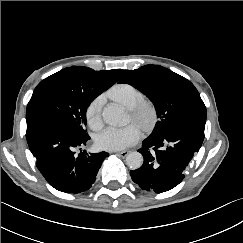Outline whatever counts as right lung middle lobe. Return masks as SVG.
<instances>
[{"mask_svg":"<svg viewBox=\"0 0 243 243\" xmlns=\"http://www.w3.org/2000/svg\"><path fill=\"white\" fill-rule=\"evenodd\" d=\"M98 95L74 87L70 77L59 71L38 84L27 105L26 114L32 111L52 113L67 122L79 135L86 136V111Z\"/></svg>","mask_w":243,"mask_h":243,"instance_id":"dd1d6c3e","label":"right lung middle lobe"}]
</instances>
